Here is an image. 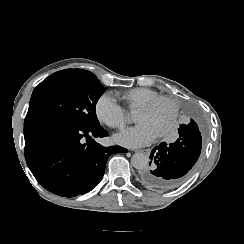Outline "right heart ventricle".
<instances>
[{
	"label": "right heart ventricle",
	"mask_w": 244,
	"mask_h": 244,
	"mask_svg": "<svg viewBox=\"0 0 244 244\" xmlns=\"http://www.w3.org/2000/svg\"><path fill=\"white\" fill-rule=\"evenodd\" d=\"M115 96L123 100L131 109H136L146 101L149 102L154 97H160L158 93L147 88H135L129 91H119L115 93Z\"/></svg>",
	"instance_id": "1"
}]
</instances>
